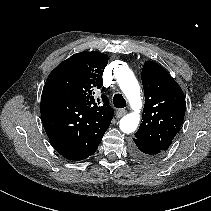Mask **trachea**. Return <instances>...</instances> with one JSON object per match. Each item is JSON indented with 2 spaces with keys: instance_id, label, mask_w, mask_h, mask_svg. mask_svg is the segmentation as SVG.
<instances>
[{
  "instance_id": "obj_1",
  "label": "trachea",
  "mask_w": 211,
  "mask_h": 211,
  "mask_svg": "<svg viewBox=\"0 0 211 211\" xmlns=\"http://www.w3.org/2000/svg\"><path fill=\"white\" fill-rule=\"evenodd\" d=\"M113 104L116 108L126 107V100L121 94H115L113 97Z\"/></svg>"
}]
</instances>
